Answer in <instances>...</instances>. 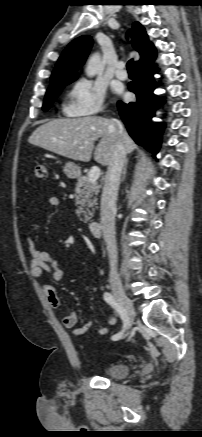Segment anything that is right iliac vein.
Returning <instances> with one entry per match:
<instances>
[{"label":"right iliac vein","instance_id":"63e3f726","mask_svg":"<svg viewBox=\"0 0 202 437\" xmlns=\"http://www.w3.org/2000/svg\"><path fill=\"white\" fill-rule=\"evenodd\" d=\"M112 290L119 303L123 306L127 314V322L125 329H129L135 318V310L132 301L127 297L123 288L119 285H112Z\"/></svg>","mask_w":202,"mask_h":437}]
</instances>
